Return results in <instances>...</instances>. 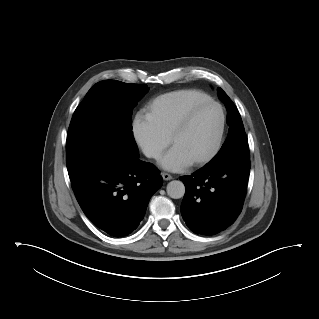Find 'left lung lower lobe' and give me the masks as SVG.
Segmentation results:
<instances>
[{"mask_svg":"<svg viewBox=\"0 0 319 319\" xmlns=\"http://www.w3.org/2000/svg\"><path fill=\"white\" fill-rule=\"evenodd\" d=\"M250 167V158L234 156L180 177L186 187L181 214L190 230L208 236L234 223L242 210Z\"/></svg>","mask_w":319,"mask_h":319,"instance_id":"obj_1","label":"left lung lower lobe"}]
</instances>
